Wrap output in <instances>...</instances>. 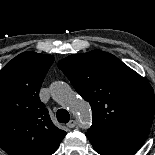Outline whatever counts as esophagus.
<instances>
[{
	"instance_id": "obj_1",
	"label": "esophagus",
	"mask_w": 155,
	"mask_h": 155,
	"mask_svg": "<svg viewBox=\"0 0 155 155\" xmlns=\"http://www.w3.org/2000/svg\"><path fill=\"white\" fill-rule=\"evenodd\" d=\"M77 124V121L76 120H70L68 123H67V126L69 128H74Z\"/></svg>"
}]
</instances>
